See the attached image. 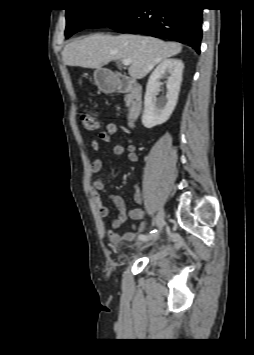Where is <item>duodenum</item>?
<instances>
[{"mask_svg": "<svg viewBox=\"0 0 254 355\" xmlns=\"http://www.w3.org/2000/svg\"><path fill=\"white\" fill-rule=\"evenodd\" d=\"M103 87L108 91L126 93L128 95V110L126 119L129 127H134L142 110V87L125 76H116L107 80Z\"/></svg>", "mask_w": 254, "mask_h": 355, "instance_id": "duodenum-1", "label": "duodenum"}]
</instances>
